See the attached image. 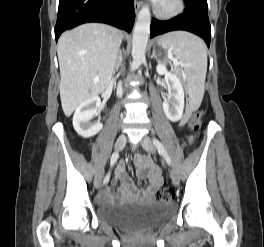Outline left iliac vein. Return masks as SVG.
<instances>
[{
  "label": "left iliac vein",
  "instance_id": "1",
  "mask_svg": "<svg viewBox=\"0 0 264 247\" xmlns=\"http://www.w3.org/2000/svg\"><path fill=\"white\" fill-rule=\"evenodd\" d=\"M141 146L143 147V149H145L147 152L150 153H154L155 152V146L152 143L151 139L149 137H144L142 142H141ZM170 177L171 180L173 182L174 185H178L179 184V176L178 173L176 172L175 169H171L170 170Z\"/></svg>",
  "mask_w": 264,
  "mask_h": 247
}]
</instances>
